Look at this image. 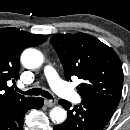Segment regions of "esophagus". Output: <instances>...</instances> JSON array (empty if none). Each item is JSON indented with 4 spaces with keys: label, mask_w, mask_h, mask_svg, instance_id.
Segmentation results:
<instances>
[{
    "label": "esophagus",
    "mask_w": 130,
    "mask_h": 130,
    "mask_svg": "<svg viewBox=\"0 0 130 130\" xmlns=\"http://www.w3.org/2000/svg\"><path fill=\"white\" fill-rule=\"evenodd\" d=\"M44 104H45L47 107H53V106H55L56 102L53 101V100L45 99V100H44Z\"/></svg>",
    "instance_id": "esophagus-1"
}]
</instances>
